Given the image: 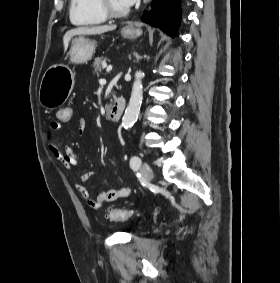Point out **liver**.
<instances>
[{
	"instance_id": "1",
	"label": "liver",
	"mask_w": 280,
	"mask_h": 283,
	"mask_svg": "<svg viewBox=\"0 0 280 283\" xmlns=\"http://www.w3.org/2000/svg\"><path fill=\"white\" fill-rule=\"evenodd\" d=\"M116 25L78 27L67 31L63 37L64 49L67 50L70 39L76 35H97L113 31Z\"/></svg>"
}]
</instances>
